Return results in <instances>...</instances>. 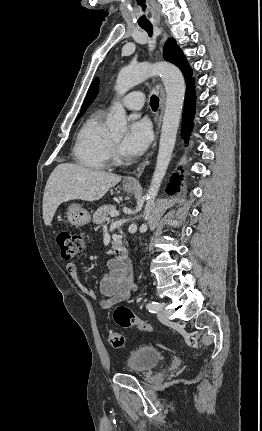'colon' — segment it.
Listing matches in <instances>:
<instances>
[{
    "label": "colon",
    "mask_w": 262,
    "mask_h": 431,
    "mask_svg": "<svg viewBox=\"0 0 262 431\" xmlns=\"http://www.w3.org/2000/svg\"><path fill=\"white\" fill-rule=\"evenodd\" d=\"M57 244L62 259L71 262L83 250L85 240L84 237L78 233L63 230L57 235ZM113 317L116 323L122 327H135L144 332H153V327L148 322L137 317L127 306L121 305L117 307ZM108 340L114 348H120L125 343L123 336L114 331L109 333Z\"/></svg>",
    "instance_id": "1"
}]
</instances>
